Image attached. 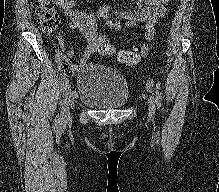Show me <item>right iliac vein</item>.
<instances>
[{
    "label": "right iliac vein",
    "instance_id": "right-iliac-vein-1",
    "mask_svg": "<svg viewBox=\"0 0 219 192\" xmlns=\"http://www.w3.org/2000/svg\"><path fill=\"white\" fill-rule=\"evenodd\" d=\"M76 102V94L67 86L64 92V101L61 108V120L65 121L70 117V107Z\"/></svg>",
    "mask_w": 219,
    "mask_h": 192
}]
</instances>
